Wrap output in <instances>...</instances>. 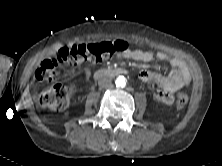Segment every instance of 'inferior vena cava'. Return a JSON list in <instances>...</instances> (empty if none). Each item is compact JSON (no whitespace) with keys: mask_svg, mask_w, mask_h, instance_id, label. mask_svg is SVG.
Returning <instances> with one entry per match:
<instances>
[{"mask_svg":"<svg viewBox=\"0 0 222 166\" xmlns=\"http://www.w3.org/2000/svg\"><path fill=\"white\" fill-rule=\"evenodd\" d=\"M98 84L101 88H108V87H111L112 86V82L110 79L108 78H101L99 81H98Z\"/></svg>","mask_w":222,"mask_h":166,"instance_id":"1","label":"inferior vena cava"}]
</instances>
